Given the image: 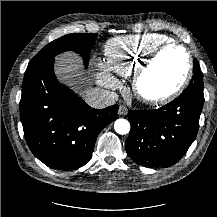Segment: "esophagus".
Here are the masks:
<instances>
[{
  "mask_svg": "<svg viewBox=\"0 0 217 217\" xmlns=\"http://www.w3.org/2000/svg\"><path fill=\"white\" fill-rule=\"evenodd\" d=\"M118 114L125 116L128 114V109L125 105H120L119 110H118Z\"/></svg>",
  "mask_w": 217,
  "mask_h": 217,
  "instance_id": "34e87169",
  "label": "esophagus"
}]
</instances>
